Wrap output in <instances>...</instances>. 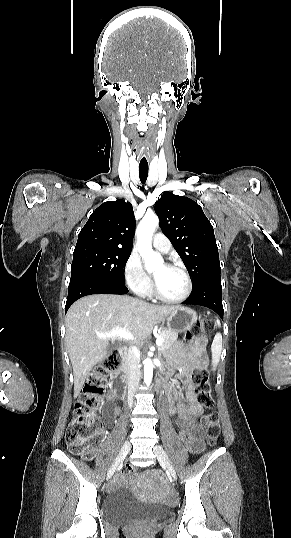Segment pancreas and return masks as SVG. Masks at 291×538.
I'll return each mask as SVG.
<instances>
[{"mask_svg":"<svg viewBox=\"0 0 291 538\" xmlns=\"http://www.w3.org/2000/svg\"><path fill=\"white\" fill-rule=\"evenodd\" d=\"M160 335L162 336L164 341H163V344L161 346H159V350L161 352H164L167 349H169L175 343V341L177 339V334L172 332L169 329H162Z\"/></svg>","mask_w":291,"mask_h":538,"instance_id":"cf45deb5","label":"pancreas"}]
</instances>
